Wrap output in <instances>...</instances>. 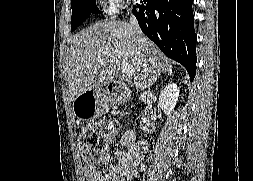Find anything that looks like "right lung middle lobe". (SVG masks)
<instances>
[{"instance_id": "obj_1", "label": "right lung middle lobe", "mask_w": 253, "mask_h": 181, "mask_svg": "<svg viewBox=\"0 0 253 181\" xmlns=\"http://www.w3.org/2000/svg\"><path fill=\"white\" fill-rule=\"evenodd\" d=\"M72 18L71 30L76 29L92 13H100L95 0H71Z\"/></svg>"}]
</instances>
